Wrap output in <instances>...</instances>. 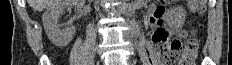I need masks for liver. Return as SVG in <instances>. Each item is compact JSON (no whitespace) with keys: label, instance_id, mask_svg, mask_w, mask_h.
Wrapping results in <instances>:
<instances>
[{"label":"liver","instance_id":"6515ba94","mask_svg":"<svg viewBox=\"0 0 232 65\" xmlns=\"http://www.w3.org/2000/svg\"><path fill=\"white\" fill-rule=\"evenodd\" d=\"M56 0H28L30 7L34 11H42L55 3Z\"/></svg>","mask_w":232,"mask_h":65}]
</instances>
